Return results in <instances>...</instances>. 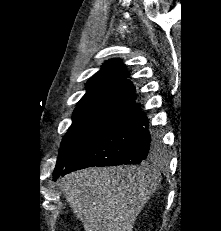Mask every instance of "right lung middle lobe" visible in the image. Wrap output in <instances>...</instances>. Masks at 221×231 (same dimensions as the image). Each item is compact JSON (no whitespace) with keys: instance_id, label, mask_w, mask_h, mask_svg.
<instances>
[{"instance_id":"dd1d6c3e","label":"right lung middle lobe","mask_w":221,"mask_h":231,"mask_svg":"<svg viewBox=\"0 0 221 231\" xmlns=\"http://www.w3.org/2000/svg\"><path fill=\"white\" fill-rule=\"evenodd\" d=\"M131 104L129 100L109 97L79 102L73 123L61 142L55 170L68 164L116 114Z\"/></svg>"}]
</instances>
